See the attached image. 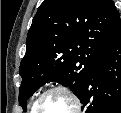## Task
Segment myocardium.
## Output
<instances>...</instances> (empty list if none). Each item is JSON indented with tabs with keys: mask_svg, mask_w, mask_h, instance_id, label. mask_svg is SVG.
<instances>
[{
	"mask_svg": "<svg viewBox=\"0 0 121 113\" xmlns=\"http://www.w3.org/2000/svg\"><path fill=\"white\" fill-rule=\"evenodd\" d=\"M63 93L71 102H72V110H80L81 109V102L79 97L68 87L63 86V85H58V86H54L48 90H46L45 92H43L39 98L36 100L33 110L35 113H40V106L42 101L48 97L49 95L53 94V93ZM73 113V112H70Z\"/></svg>",
	"mask_w": 121,
	"mask_h": 113,
	"instance_id": "obj_1",
	"label": "myocardium"
}]
</instances>
